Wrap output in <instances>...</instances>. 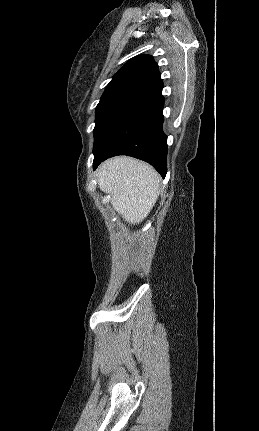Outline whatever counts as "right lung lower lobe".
Instances as JSON below:
<instances>
[{
	"instance_id": "98d812e1",
	"label": "right lung lower lobe",
	"mask_w": 259,
	"mask_h": 431,
	"mask_svg": "<svg viewBox=\"0 0 259 431\" xmlns=\"http://www.w3.org/2000/svg\"><path fill=\"white\" fill-rule=\"evenodd\" d=\"M162 88L131 107L93 149V168L107 158L128 155L151 164L164 178L167 136L163 132Z\"/></svg>"
}]
</instances>
